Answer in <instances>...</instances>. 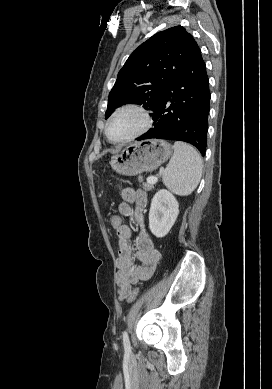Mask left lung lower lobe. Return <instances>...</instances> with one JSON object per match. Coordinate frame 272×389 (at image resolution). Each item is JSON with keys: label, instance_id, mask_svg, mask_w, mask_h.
Segmentation results:
<instances>
[{"label": "left lung lower lobe", "instance_id": "obj_1", "mask_svg": "<svg viewBox=\"0 0 272 389\" xmlns=\"http://www.w3.org/2000/svg\"><path fill=\"white\" fill-rule=\"evenodd\" d=\"M209 79L201 51L168 84L153 110L154 128L137 140L169 139L206 151L210 110Z\"/></svg>", "mask_w": 272, "mask_h": 389}]
</instances>
